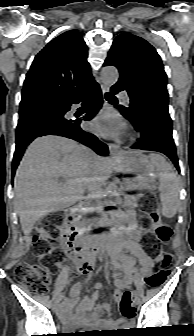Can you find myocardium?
I'll return each mask as SVG.
<instances>
[{
	"mask_svg": "<svg viewBox=\"0 0 194 336\" xmlns=\"http://www.w3.org/2000/svg\"><path fill=\"white\" fill-rule=\"evenodd\" d=\"M129 138H130V139H134V138H135V134H134L133 132H130V133H129Z\"/></svg>",
	"mask_w": 194,
	"mask_h": 336,
	"instance_id": "obj_1",
	"label": "myocardium"
}]
</instances>
